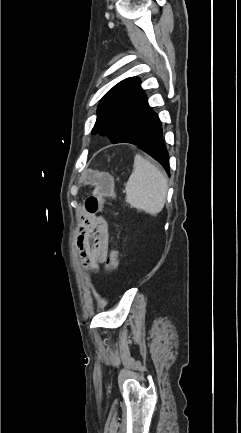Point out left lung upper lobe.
I'll use <instances>...</instances> for the list:
<instances>
[{
    "instance_id": "left-lung-upper-lobe-1",
    "label": "left lung upper lobe",
    "mask_w": 241,
    "mask_h": 433,
    "mask_svg": "<svg viewBox=\"0 0 241 433\" xmlns=\"http://www.w3.org/2000/svg\"><path fill=\"white\" fill-rule=\"evenodd\" d=\"M157 118L140 87V80L127 78L100 101L92 134L108 136L113 143H124L148 130Z\"/></svg>"
}]
</instances>
